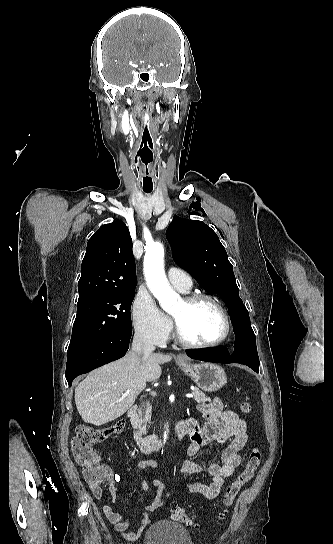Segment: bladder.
<instances>
[{
    "label": "bladder",
    "mask_w": 333,
    "mask_h": 544,
    "mask_svg": "<svg viewBox=\"0 0 333 544\" xmlns=\"http://www.w3.org/2000/svg\"><path fill=\"white\" fill-rule=\"evenodd\" d=\"M143 544H193L183 525L161 520L151 524L143 536Z\"/></svg>",
    "instance_id": "obj_1"
}]
</instances>
